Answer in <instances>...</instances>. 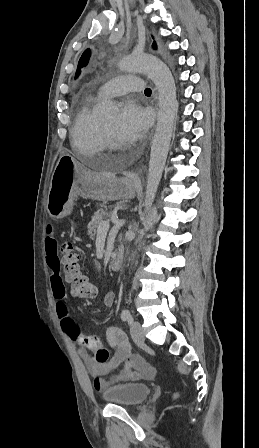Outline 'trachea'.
<instances>
[{
	"label": "trachea",
	"mask_w": 259,
	"mask_h": 448,
	"mask_svg": "<svg viewBox=\"0 0 259 448\" xmlns=\"http://www.w3.org/2000/svg\"><path fill=\"white\" fill-rule=\"evenodd\" d=\"M144 93H152V90H151V88H145V91H144Z\"/></svg>",
	"instance_id": "1"
}]
</instances>
